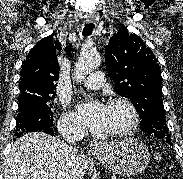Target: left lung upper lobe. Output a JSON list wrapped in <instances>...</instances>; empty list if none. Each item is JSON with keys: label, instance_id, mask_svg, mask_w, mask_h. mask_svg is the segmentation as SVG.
I'll list each match as a JSON object with an SVG mask.
<instances>
[{"label": "left lung upper lobe", "instance_id": "obj_1", "mask_svg": "<svg viewBox=\"0 0 183 179\" xmlns=\"http://www.w3.org/2000/svg\"><path fill=\"white\" fill-rule=\"evenodd\" d=\"M105 63L114 90L130 99L142 119L141 130L163 141L170 139L164 115L158 60L136 34L121 26L105 47Z\"/></svg>", "mask_w": 183, "mask_h": 179}]
</instances>
